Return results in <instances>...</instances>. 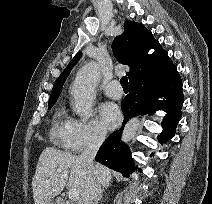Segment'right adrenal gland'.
I'll list each match as a JSON object with an SVG mask.
<instances>
[{
  "instance_id": "obj_1",
  "label": "right adrenal gland",
  "mask_w": 212,
  "mask_h": 204,
  "mask_svg": "<svg viewBox=\"0 0 212 204\" xmlns=\"http://www.w3.org/2000/svg\"><path fill=\"white\" fill-rule=\"evenodd\" d=\"M105 189H107V187L103 186V187H102V190H101V193H100V196H99V201H101Z\"/></svg>"
}]
</instances>
